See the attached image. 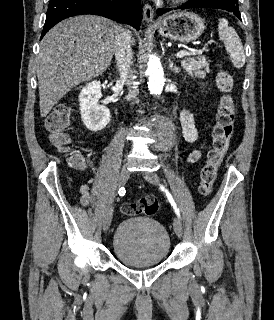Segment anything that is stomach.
Here are the masks:
<instances>
[{"label":"stomach","instance_id":"stomach-1","mask_svg":"<svg viewBox=\"0 0 274 320\" xmlns=\"http://www.w3.org/2000/svg\"><path fill=\"white\" fill-rule=\"evenodd\" d=\"M160 36L169 38V40H178V42H194L202 36L206 26L204 20L192 14V12H177L172 16H166L159 20L158 26H153Z\"/></svg>","mask_w":274,"mask_h":320}]
</instances>
